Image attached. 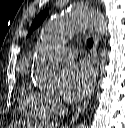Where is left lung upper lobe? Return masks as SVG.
<instances>
[{
  "label": "left lung upper lobe",
  "mask_w": 125,
  "mask_h": 128,
  "mask_svg": "<svg viewBox=\"0 0 125 128\" xmlns=\"http://www.w3.org/2000/svg\"><path fill=\"white\" fill-rule=\"evenodd\" d=\"M49 14V10H43L33 21L30 31L28 32V36L31 34V32L37 28L42 22L43 20L46 18V16Z\"/></svg>",
  "instance_id": "5c2ea615"
}]
</instances>
